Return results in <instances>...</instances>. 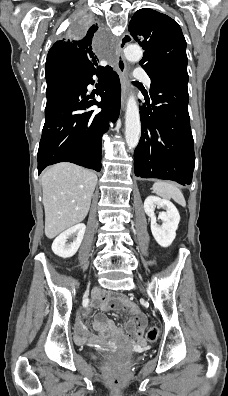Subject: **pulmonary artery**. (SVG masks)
I'll return each mask as SVG.
<instances>
[{"label":"pulmonary artery","instance_id":"obj_1","mask_svg":"<svg viewBox=\"0 0 228 396\" xmlns=\"http://www.w3.org/2000/svg\"><path fill=\"white\" fill-rule=\"evenodd\" d=\"M134 76L143 81L144 84L149 88L151 86V79L148 76V74L142 69V68H137L134 72Z\"/></svg>","mask_w":228,"mask_h":396}]
</instances>
